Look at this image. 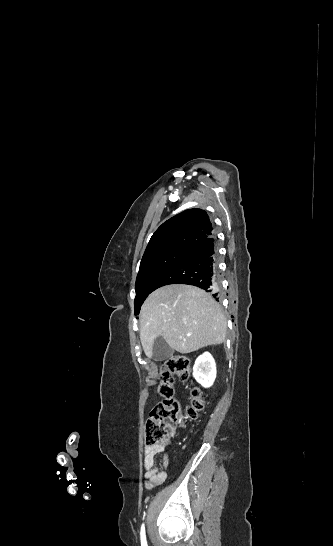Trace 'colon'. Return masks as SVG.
Wrapping results in <instances>:
<instances>
[{"mask_svg":"<svg viewBox=\"0 0 333 546\" xmlns=\"http://www.w3.org/2000/svg\"><path fill=\"white\" fill-rule=\"evenodd\" d=\"M178 375L184 381L190 379L191 362L182 355L172 356L162 365L159 394L161 400L157 403L145 425V441L148 445H165L175 429L184 424L187 418H194L206 407V401L198 388H193L191 405L186 415H183L179 403L173 395V376Z\"/></svg>","mask_w":333,"mask_h":546,"instance_id":"1","label":"colon"}]
</instances>
